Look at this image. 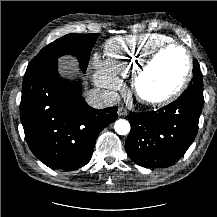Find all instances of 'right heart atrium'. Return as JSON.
I'll use <instances>...</instances> for the list:
<instances>
[{"label": "right heart atrium", "instance_id": "obj_1", "mask_svg": "<svg viewBox=\"0 0 217 217\" xmlns=\"http://www.w3.org/2000/svg\"><path fill=\"white\" fill-rule=\"evenodd\" d=\"M94 83L104 89L109 91V95L114 96V91L120 88L121 81L116 77L107 67L105 60H103L98 54L93 57Z\"/></svg>", "mask_w": 217, "mask_h": 217}]
</instances>
